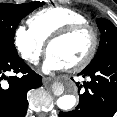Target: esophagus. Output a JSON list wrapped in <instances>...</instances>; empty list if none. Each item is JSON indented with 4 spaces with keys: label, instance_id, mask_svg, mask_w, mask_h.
<instances>
[{
    "label": "esophagus",
    "instance_id": "34e87169",
    "mask_svg": "<svg viewBox=\"0 0 117 117\" xmlns=\"http://www.w3.org/2000/svg\"><path fill=\"white\" fill-rule=\"evenodd\" d=\"M42 81H43L44 85H47V84H49L51 82V78H49V77H43Z\"/></svg>",
    "mask_w": 117,
    "mask_h": 117
}]
</instances>
